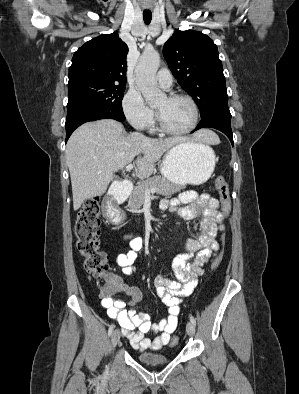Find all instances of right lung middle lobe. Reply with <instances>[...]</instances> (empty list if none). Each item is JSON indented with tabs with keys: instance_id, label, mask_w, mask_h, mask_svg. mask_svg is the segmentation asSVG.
Listing matches in <instances>:
<instances>
[{
	"instance_id": "dd1d6c3e",
	"label": "right lung middle lobe",
	"mask_w": 299,
	"mask_h": 394,
	"mask_svg": "<svg viewBox=\"0 0 299 394\" xmlns=\"http://www.w3.org/2000/svg\"><path fill=\"white\" fill-rule=\"evenodd\" d=\"M124 91L125 85L114 83L94 82L68 87L67 107L94 105L124 115L122 110Z\"/></svg>"
}]
</instances>
